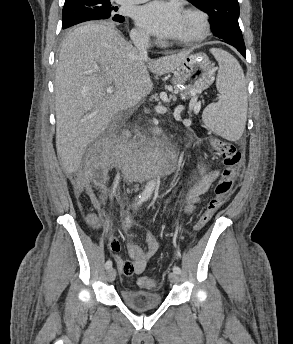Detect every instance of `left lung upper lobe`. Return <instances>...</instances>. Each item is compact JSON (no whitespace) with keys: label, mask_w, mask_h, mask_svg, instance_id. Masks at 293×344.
Masks as SVG:
<instances>
[{"label":"left lung upper lobe","mask_w":293,"mask_h":344,"mask_svg":"<svg viewBox=\"0 0 293 344\" xmlns=\"http://www.w3.org/2000/svg\"><path fill=\"white\" fill-rule=\"evenodd\" d=\"M210 17L214 36L229 44L244 45L239 27V4L237 0H187Z\"/></svg>","instance_id":"obj_1"}]
</instances>
